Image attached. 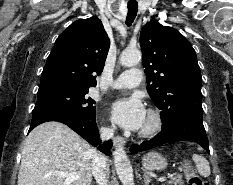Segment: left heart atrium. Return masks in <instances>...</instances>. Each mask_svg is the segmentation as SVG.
<instances>
[{
	"mask_svg": "<svg viewBox=\"0 0 233 185\" xmlns=\"http://www.w3.org/2000/svg\"><path fill=\"white\" fill-rule=\"evenodd\" d=\"M109 112L116 124L134 131L142 128L147 115L142 101L137 96L116 99L111 103Z\"/></svg>",
	"mask_w": 233,
	"mask_h": 185,
	"instance_id": "39dd6f15",
	"label": "left heart atrium"
}]
</instances>
